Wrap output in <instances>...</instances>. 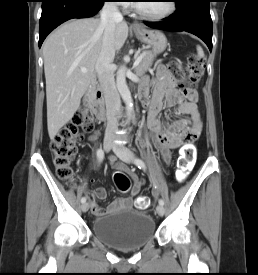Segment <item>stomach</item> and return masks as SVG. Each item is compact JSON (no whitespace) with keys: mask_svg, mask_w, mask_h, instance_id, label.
<instances>
[{"mask_svg":"<svg viewBox=\"0 0 258 275\" xmlns=\"http://www.w3.org/2000/svg\"><path fill=\"white\" fill-rule=\"evenodd\" d=\"M134 33L141 42L151 48L153 55L160 54L166 49L167 39L161 31L142 28Z\"/></svg>","mask_w":258,"mask_h":275,"instance_id":"0dacf381","label":"stomach"}]
</instances>
